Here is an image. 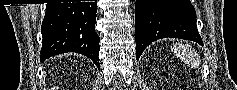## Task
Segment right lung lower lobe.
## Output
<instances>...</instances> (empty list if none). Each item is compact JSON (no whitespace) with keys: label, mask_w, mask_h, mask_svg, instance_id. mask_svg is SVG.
<instances>
[{"label":"right lung lower lobe","mask_w":237,"mask_h":90,"mask_svg":"<svg viewBox=\"0 0 237 90\" xmlns=\"http://www.w3.org/2000/svg\"><path fill=\"white\" fill-rule=\"evenodd\" d=\"M96 12V2L47 4L41 27V62L57 54L76 52L90 58L99 68Z\"/></svg>","instance_id":"98d812e1"}]
</instances>
